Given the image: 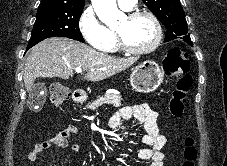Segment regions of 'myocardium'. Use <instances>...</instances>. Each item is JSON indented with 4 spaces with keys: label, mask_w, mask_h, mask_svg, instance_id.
Instances as JSON below:
<instances>
[{
    "label": "myocardium",
    "mask_w": 227,
    "mask_h": 166,
    "mask_svg": "<svg viewBox=\"0 0 227 166\" xmlns=\"http://www.w3.org/2000/svg\"><path fill=\"white\" fill-rule=\"evenodd\" d=\"M142 16H146L152 21V23L155 27V37L148 46L143 47V48H133V47H130L129 45H127L125 43V41L123 40L121 34L117 30H115L114 35H115L117 45L120 49H122L126 53H129L132 55H145V54H148V53L154 51L161 42L162 27H161L160 21L152 12L146 11V10H137V11L127 12L125 14V18L128 20H134V19H136L138 17H142Z\"/></svg>",
    "instance_id": "obj_1"
}]
</instances>
